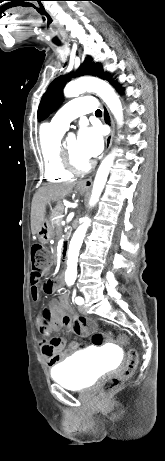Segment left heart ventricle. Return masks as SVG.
<instances>
[{"label":"left heart ventricle","mask_w":165,"mask_h":461,"mask_svg":"<svg viewBox=\"0 0 165 461\" xmlns=\"http://www.w3.org/2000/svg\"><path fill=\"white\" fill-rule=\"evenodd\" d=\"M65 145L72 157V159L74 160V162L80 166L82 165H85L88 160L86 158H84L80 152H79V149H78V144H77V140L74 139V138H71V139H67L65 141Z\"/></svg>","instance_id":"obj_1"}]
</instances>
